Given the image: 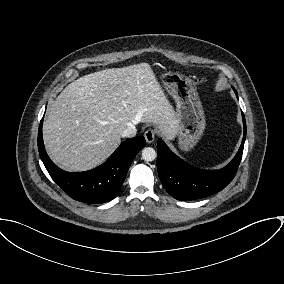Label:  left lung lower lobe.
I'll return each instance as SVG.
<instances>
[{
	"label": "left lung lower lobe",
	"mask_w": 284,
	"mask_h": 284,
	"mask_svg": "<svg viewBox=\"0 0 284 284\" xmlns=\"http://www.w3.org/2000/svg\"><path fill=\"white\" fill-rule=\"evenodd\" d=\"M242 118L244 136L239 151L234 159L220 170L195 168L176 156L161 139L158 140L157 169L159 178L165 190L173 198L190 201L207 197L221 191L232 181L242 158L246 138V122L243 113Z\"/></svg>",
	"instance_id": "1"
}]
</instances>
